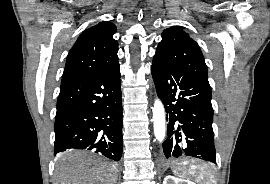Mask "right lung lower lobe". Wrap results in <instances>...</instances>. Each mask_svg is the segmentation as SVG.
I'll return each mask as SVG.
<instances>
[{
	"label": "right lung lower lobe",
	"mask_w": 270,
	"mask_h": 184,
	"mask_svg": "<svg viewBox=\"0 0 270 184\" xmlns=\"http://www.w3.org/2000/svg\"><path fill=\"white\" fill-rule=\"evenodd\" d=\"M87 149L119 161L122 97L119 65L61 83L55 117L54 155Z\"/></svg>",
	"instance_id": "right-lung-lower-lobe-1"
}]
</instances>
